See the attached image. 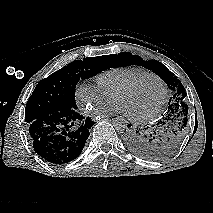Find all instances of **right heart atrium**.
I'll return each mask as SVG.
<instances>
[{
    "instance_id": "d8ad5b80",
    "label": "right heart atrium",
    "mask_w": 213,
    "mask_h": 213,
    "mask_svg": "<svg viewBox=\"0 0 213 213\" xmlns=\"http://www.w3.org/2000/svg\"><path fill=\"white\" fill-rule=\"evenodd\" d=\"M75 99L79 109L88 112L109 103L111 96L106 94L98 84L84 81L76 86Z\"/></svg>"
}]
</instances>
